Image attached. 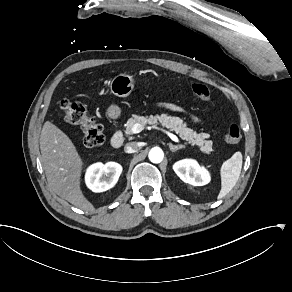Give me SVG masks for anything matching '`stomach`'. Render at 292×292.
I'll return each mask as SVG.
<instances>
[{
    "instance_id": "1",
    "label": "stomach",
    "mask_w": 292,
    "mask_h": 292,
    "mask_svg": "<svg viewBox=\"0 0 292 292\" xmlns=\"http://www.w3.org/2000/svg\"><path fill=\"white\" fill-rule=\"evenodd\" d=\"M134 89V78L128 74L115 76L110 83L111 93L118 97H127ZM107 116L117 119L121 114V109L117 105H111L107 109Z\"/></svg>"
}]
</instances>
